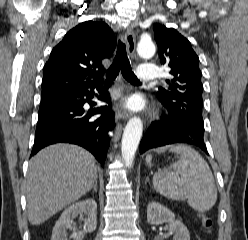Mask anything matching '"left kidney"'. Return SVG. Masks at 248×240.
Segmentation results:
<instances>
[{
    "label": "left kidney",
    "instance_id": "left-kidney-1",
    "mask_svg": "<svg viewBox=\"0 0 248 240\" xmlns=\"http://www.w3.org/2000/svg\"><path fill=\"white\" fill-rule=\"evenodd\" d=\"M147 221L152 225L169 223V231L174 235V240H190L188 229L180 220H175V215L160 203L151 202L147 206Z\"/></svg>",
    "mask_w": 248,
    "mask_h": 240
}]
</instances>
